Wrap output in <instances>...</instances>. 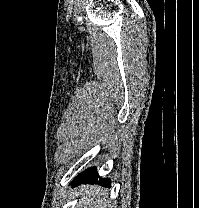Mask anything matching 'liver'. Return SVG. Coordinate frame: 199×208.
Returning <instances> with one entry per match:
<instances>
[{
	"label": "liver",
	"mask_w": 199,
	"mask_h": 208,
	"mask_svg": "<svg viewBox=\"0 0 199 208\" xmlns=\"http://www.w3.org/2000/svg\"><path fill=\"white\" fill-rule=\"evenodd\" d=\"M102 190L93 186H81L75 196H80L77 208H106V199L101 198Z\"/></svg>",
	"instance_id": "1"
}]
</instances>
